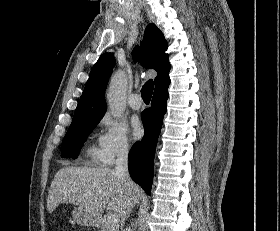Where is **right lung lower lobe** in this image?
<instances>
[{
  "instance_id": "right-lung-lower-lobe-1",
  "label": "right lung lower lobe",
  "mask_w": 280,
  "mask_h": 231,
  "mask_svg": "<svg viewBox=\"0 0 280 231\" xmlns=\"http://www.w3.org/2000/svg\"><path fill=\"white\" fill-rule=\"evenodd\" d=\"M168 91L154 93L151 107L142 113L144 137L136 142L129 152V172L147 194H150L153 181L154 153L157 139L166 113Z\"/></svg>"
}]
</instances>
